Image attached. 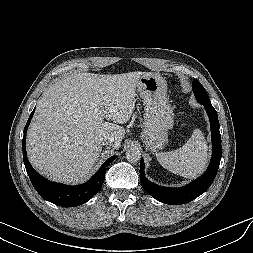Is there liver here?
<instances>
[{
  "instance_id": "liver-1",
  "label": "liver",
  "mask_w": 253,
  "mask_h": 253,
  "mask_svg": "<svg viewBox=\"0 0 253 253\" xmlns=\"http://www.w3.org/2000/svg\"><path fill=\"white\" fill-rule=\"evenodd\" d=\"M148 74L83 72L52 84L38 101L27 133L32 166L54 181L83 180L98 160L103 139L110 137L111 145L120 147L125 129L118 124L130 119L139 79Z\"/></svg>"
}]
</instances>
